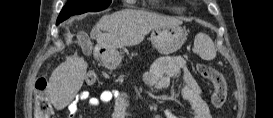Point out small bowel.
Returning a JSON list of instances; mask_svg holds the SVG:
<instances>
[{
  "mask_svg": "<svg viewBox=\"0 0 273 118\" xmlns=\"http://www.w3.org/2000/svg\"><path fill=\"white\" fill-rule=\"evenodd\" d=\"M181 77L182 85L180 93L187 100L192 109L193 118H211L209 102L204 98L203 91L192 73L187 62L180 56H166L158 58L144 76V83L156 90L166 88L173 80ZM128 93L118 92L110 89L103 90L98 95H91L84 91L67 106L69 114L73 117L77 110V103L85 100L90 108H97L104 103L114 101V118L127 117L126 108L128 104ZM165 118H176L174 108L164 112Z\"/></svg>",
  "mask_w": 273,
  "mask_h": 118,
  "instance_id": "small-bowel-1",
  "label": "small bowel"
}]
</instances>
